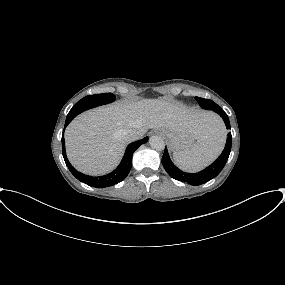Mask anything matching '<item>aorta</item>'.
<instances>
[{"instance_id":"aorta-1","label":"aorta","mask_w":285,"mask_h":285,"mask_svg":"<svg viewBox=\"0 0 285 285\" xmlns=\"http://www.w3.org/2000/svg\"><path fill=\"white\" fill-rule=\"evenodd\" d=\"M149 144L153 149L157 151H162L165 148L164 140L160 136H152L149 139Z\"/></svg>"}]
</instances>
